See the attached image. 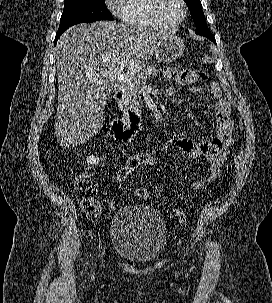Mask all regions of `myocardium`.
Here are the masks:
<instances>
[{
	"instance_id": "f54148a6",
	"label": "myocardium",
	"mask_w": 272,
	"mask_h": 303,
	"mask_svg": "<svg viewBox=\"0 0 272 303\" xmlns=\"http://www.w3.org/2000/svg\"><path fill=\"white\" fill-rule=\"evenodd\" d=\"M178 2L180 3L181 7H182V16L181 18L173 23V24H168L166 22H164L159 14V6L161 3V0H151L150 2V15L152 17V19L154 20V22L161 28L163 29H175L177 27H179L186 19L187 17V5L185 3L184 0H178Z\"/></svg>"
}]
</instances>
